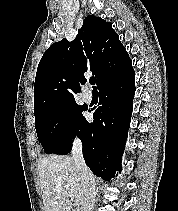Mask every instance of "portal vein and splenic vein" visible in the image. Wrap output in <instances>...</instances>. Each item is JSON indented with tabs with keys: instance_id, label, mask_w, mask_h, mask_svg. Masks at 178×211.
Segmentation results:
<instances>
[{
	"instance_id": "obj_1",
	"label": "portal vein and splenic vein",
	"mask_w": 178,
	"mask_h": 211,
	"mask_svg": "<svg viewBox=\"0 0 178 211\" xmlns=\"http://www.w3.org/2000/svg\"><path fill=\"white\" fill-rule=\"evenodd\" d=\"M69 196H70L71 200H73V199H74V196H73L72 194H70Z\"/></svg>"
}]
</instances>
